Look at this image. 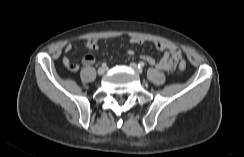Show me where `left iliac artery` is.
<instances>
[{"label":"left iliac artery","instance_id":"left-iliac-artery-1","mask_svg":"<svg viewBox=\"0 0 244 157\" xmlns=\"http://www.w3.org/2000/svg\"><path fill=\"white\" fill-rule=\"evenodd\" d=\"M144 66H145L144 62H139V64H138V67H139V68L142 69Z\"/></svg>","mask_w":244,"mask_h":157}]
</instances>
